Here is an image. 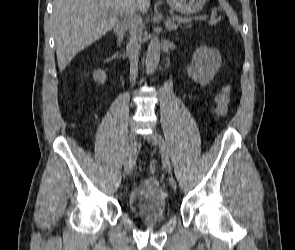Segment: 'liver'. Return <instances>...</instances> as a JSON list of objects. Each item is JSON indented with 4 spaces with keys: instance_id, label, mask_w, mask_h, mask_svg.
<instances>
[{
    "instance_id": "liver-1",
    "label": "liver",
    "mask_w": 295,
    "mask_h": 250,
    "mask_svg": "<svg viewBox=\"0 0 295 250\" xmlns=\"http://www.w3.org/2000/svg\"><path fill=\"white\" fill-rule=\"evenodd\" d=\"M138 12L146 13L150 0H133ZM130 0H54L53 31L60 71L74 56L108 33L127 13Z\"/></svg>"
}]
</instances>
